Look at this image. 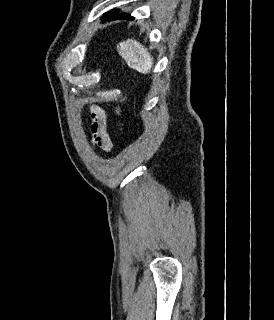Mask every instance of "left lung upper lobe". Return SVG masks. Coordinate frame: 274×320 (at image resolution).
<instances>
[{
	"instance_id": "left-lung-upper-lobe-1",
	"label": "left lung upper lobe",
	"mask_w": 274,
	"mask_h": 320,
	"mask_svg": "<svg viewBox=\"0 0 274 320\" xmlns=\"http://www.w3.org/2000/svg\"><path fill=\"white\" fill-rule=\"evenodd\" d=\"M117 11L116 10H112L111 12H108V13H116Z\"/></svg>"
}]
</instances>
